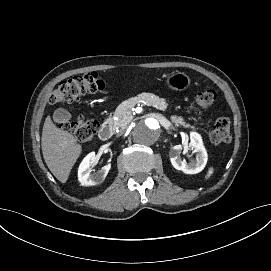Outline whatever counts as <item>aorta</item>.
Returning a JSON list of instances; mask_svg holds the SVG:
<instances>
[{
	"label": "aorta",
	"mask_w": 271,
	"mask_h": 271,
	"mask_svg": "<svg viewBox=\"0 0 271 271\" xmlns=\"http://www.w3.org/2000/svg\"><path fill=\"white\" fill-rule=\"evenodd\" d=\"M161 135L159 122L154 118L139 121L133 128V140L141 145L154 144Z\"/></svg>",
	"instance_id": "aorta-1"
}]
</instances>
